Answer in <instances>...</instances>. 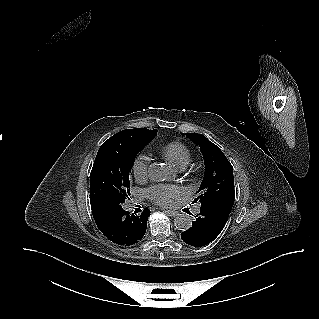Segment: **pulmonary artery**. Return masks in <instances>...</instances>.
Wrapping results in <instances>:
<instances>
[{
	"label": "pulmonary artery",
	"mask_w": 319,
	"mask_h": 319,
	"mask_svg": "<svg viewBox=\"0 0 319 319\" xmlns=\"http://www.w3.org/2000/svg\"><path fill=\"white\" fill-rule=\"evenodd\" d=\"M200 212V206H197L196 208H195V213H199Z\"/></svg>",
	"instance_id": "e3ab8cb5"
}]
</instances>
